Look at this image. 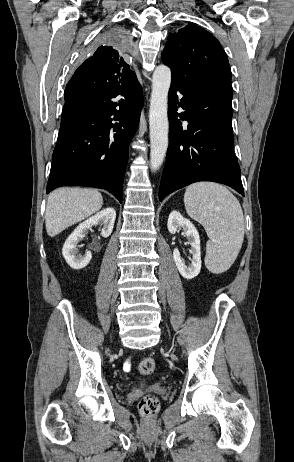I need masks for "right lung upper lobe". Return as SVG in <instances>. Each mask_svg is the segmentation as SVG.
Returning a JSON list of instances; mask_svg holds the SVG:
<instances>
[{"mask_svg": "<svg viewBox=\"0 0 294 462\" xmlns=\"http://www.w3.org/2000/svg\"><path fill=\"white\" fill-rule=\"evenodd\" d=\"M135 76L117 48L100 46L75 71L65 88L64 95L76 93L92 95L120 88Z\"/></svg>", "mask_w": 294, "mask_h": 462, "instance_id": "obj_1", "label": "right lung upper lobe"}]
</instances>
